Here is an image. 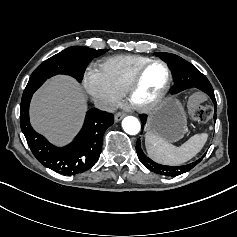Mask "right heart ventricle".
Segmentation results:
<instances>
[{"label": "right heart ventricle", "mask_w": 237, "mask_h": 237, "mask_svg": "<svg viewBox=\"0 0 237 237\" xmlns=\"http://www.w3.org/2000/svg\"><path fill=\"white\" fill-rule=\"evenodd\" d=\"M150 59L139 55H116L105 59L100 68L123 95L137 71Z\"/></svg>", "instance_id": "e07e8e85"}]
</instances>
